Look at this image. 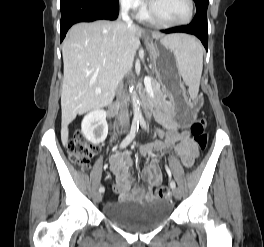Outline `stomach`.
Segmentation results:
<instances>
[{"instance_id": "0dacf381", "label": "stomach", "mask_w": 264, "mask_h": 247, "mask_svg": "<svg viewBox=\"0 0 264 247\" xmlns=\"http://www.w3.org/2000/svg\"><path fill=\"white\" fill-rule=\"evenodd\" d=\"M150 56L153 61L157 78L163 84H168L172 93L178 92V86L181 79L176 75L179 74L175 53H170V41L161 39V44H154L149 41ZM184 108H174V113H179L178 117L183 118V123H195L198 117V103H184ZM192 107V108H191ZM181 131H186V126H181Z\"/></svg>"}]
</instances>
